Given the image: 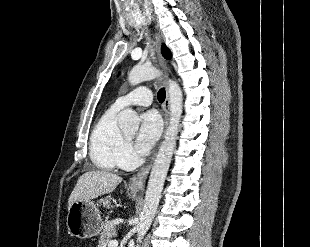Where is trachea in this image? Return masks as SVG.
Returning a JSON list of instances; mask_svg holds the SVG:
<instances>
[{
	"label": "trachea",
	"mask_w": 310,
	"mask_h": 247,
	"mask_svg": "<svg viewBox=\"0 0 310 247\" xmlns=\"http://www.w3.org/2000/svg\"><path fill=\"white\" fill-rule=\"evenodd\" d=\"M165 97H166L165 89H164V88H161V89L158 91V94H157L158 101H159L160 103L164 102Z\"/></svg>",
	"instance_id": "1"
}]
</instances>
